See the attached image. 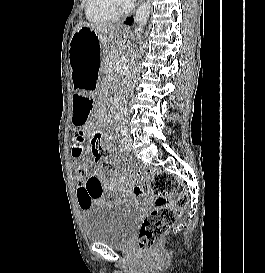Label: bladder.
<instances>
[{
    "label": "bladder",
    "instance_id": "bladder-1",
    "mask_svg": "<svg viewBox=\"0 0 265 273\" xmlns=\"http://www.w3.org/2000/svg\"><path fill=\"white\" fill-rule=\"evenodd\" d=\"M138 217L139 211L132 205H93L83 211V231L89 241L104 243L112 248H122L131 239Z\"/></svg>",
    "mask_w": 265,
    "mask_h": 273
}]
</instances>
